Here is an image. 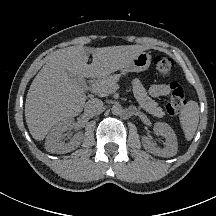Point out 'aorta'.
Here are the masks:
<instances>
[{
	"label": "aorta",
	"instance_id": "762f6f07",
	"mask_svg": "<svg viewBox=\"0 0 216 216\" xmlns=\"http://www.w3.org/2000/svg\"><path fill=\"white\" fill-rule=\"evenodd\" d=\"M111 111L114 115H120L123 112V109L120 104L116 103L112 106Z\"/></svg>",
	"mask_w": 216,
	"mask_h": 216
}]
</instances>
